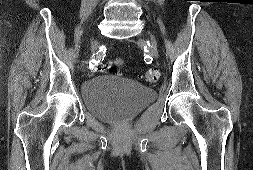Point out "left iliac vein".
Segmentation results:
<instances>
[{"label":"left iliac vein","mask_w":253,"mask_h":170,"mask_svg":"<svg viewBox=\"0 0 253 170\" xmlns=\"http://www.w3.org/2000/svg\"><path fill=\"white\" fill-rule=\"evenodd\" d=\"M151 38H152V42H151V44L148 46V52H149V54H150L151 56H153L155 59H158L159 54H158V50H157L156 41H155V39H154L153 36H151ZM140 43H141L142 45L145 44V42L142 41V40L140 41Z\"/></svg>","instance_id":"4c4485c4"}]
</instances>
